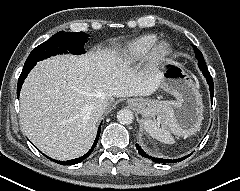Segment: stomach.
<instances>
[{"label":"stomach","mask_w":240,"mask_h":191,"mask_svg":"<svg viewBox=\"0 0 240 191\" xmlns=\"http://www.w3.org/2000/svg\"><path fill=\"white\" fill-rule=\"evenodd\" d=\"M160 87L175 100L157 101L148 98L129 99L128 103L142 115L143 121L162 115L178 135L195 133L203 119L202 96L185 70L176 63L161 72ZM145 126V125H144Z\"/></svg>","instance_id":"stomach-1"}]
</instances>
